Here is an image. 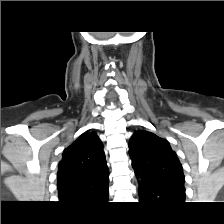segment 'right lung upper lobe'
Wrapping results in <instances>:
<instances>
[{"label":"right lung upper lobe","instance_id":"1","mask_svg":"<svg viewBox=\"0 0 224 224\" xmlns=\"http://www.w3.org/2000/svg\"><path fill=\"white\" fill-rule=\"evenodd\" d=\"M108 167L96 133H83L63 152L57 173L61 203L97 201L108 191Z\"/></svg>","mask_w":224,"mask_h":224}]
</instances>
